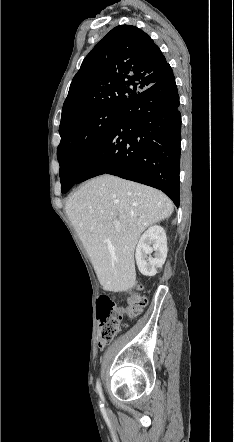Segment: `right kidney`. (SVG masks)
Wrapping results in <instances>:
<instances>
[{
    "mask_svg": "<svg viewBox=\"0 0 234 442\" xmlns=\"http://www.w3.org/2000/svg\"><path fill=\"white\" fill-rule=\"evenodd\" d=\"M154 253V256L151 254ZM167 237L165 230L158 225L149 227L136 247V263L145 276H154L162 267L167 257Z\"/></svg>",
    "mask_w": 234,
    "mask_h": 442,
    "instance_id": "ca27d5eb",
    "label": "right kidney"
}]
</instances>
